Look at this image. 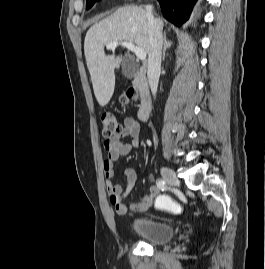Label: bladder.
Here are the masks:
<instances>
[{
	"label": "bladder",
	"mask_w": 265,
	"mask_h": 269,
	"mask_svg": "<svg viewBox=\"0 0 265 269\" xmlns=\"http://www.w3.org/2000/svg\"><path fill=\"white\" fill-rule=\"evenodd\" d=\"M132 232L152 244H164L171 241L175 235L174 228L166 223L136 218L132 221Z\"/></svg>",
	"instance_id": "31cf9c89"
}]
</instances>
